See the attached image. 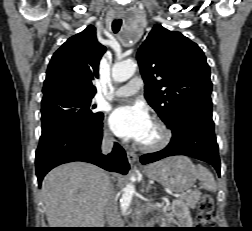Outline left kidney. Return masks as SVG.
<instances>
[{"label": "left kidney", "mask_w": 252, "mask_h": 231, "mask_svg": "<svg viewBox=\"0 0 252 231\" xmlns=\"http://www.w3.org/2000/svg\"><path fill=\"white\" fill-rule=\"evenodd\" d=\"M172 214L176 217L173 220L179 228H192L193 221L190 215L188 206L180 200H173L172 202Z\"/></svg>", "instance_id": "5707ae66"}]
</instances>
